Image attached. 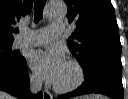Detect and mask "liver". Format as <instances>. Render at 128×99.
Segmentation results:
<instances>
[{
    "mask_svg": "<svg viewBox=\"0 0 128 99\" xmlns=\"http://www.w3.org/2000/svg\"><path fill=\"white\" fill-rule=\"evenodd\" d=\"M105 99V97L100 96V95H91L89 97H83V99ZM0 99H15L12 96H10L9 94L0 91Z\"/></svg>",
    "mask_w": 128,
    "mask_h": 99,
    "instance_id": "1",
    "label": "liver"
}]
</instances>
